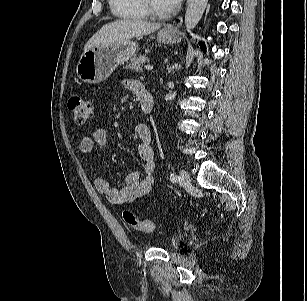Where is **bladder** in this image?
Returning a JSON list of instances; mask_svg holds the SVG:
<instances>
[{
  "mask_svg": "<svg viewBox=\"0 0 307 301\" xmlns=\"http://www.w3.org/2000/svg\"><path fill=\"white\" fill-rule=\"evenodd\" d=\"M178 246V243L177 241L173 240L171 243H170V247L171 248H176Z\"/></svg>",
  "mask_w": 307,
  "mask_h": 301,
  "instance_id": "31cf9c89",
  "label": "bladder"
}]
</instances>
